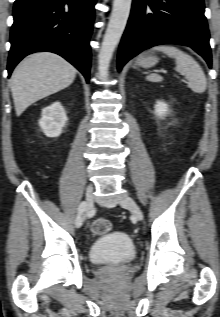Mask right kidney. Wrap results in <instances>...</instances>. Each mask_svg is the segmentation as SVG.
<instances>
[{"label": "right kidney", "instance_id": "right-kidney-1", "mask_svg": "<svg viewBox=\"0 0 220 317\" xmlns=\"http://www.w3.org/2000/svg\"><path fill=\"white\" fill-rule=\"evenodd\" d=\"M39 125L47 137H58L67 122L64 107L60 102H54L43 108Z\"/></svg>", "mask_w": 220, "mask_h": 317}]
</instances>
